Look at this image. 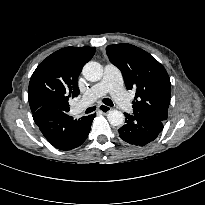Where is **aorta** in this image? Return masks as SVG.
<instances>
[{"label":"aorta","mask_w":205,"mask_h":205,"mask_svg":"<svg viewBox=\"0 0 205 205\" xmlns=\"http://www.w3.org/2000/svg\"><path fill=\"white\" fill-rule=\"evenodd\" d=\"M82 73L88 81L96 82L103 76V67L98 62L90 61L84 65ZM107 119L112 126H121L125 116L121 111L112 109L108 112Z\"/></svg>","instance_id":"762f6f07"}]
</instances>
